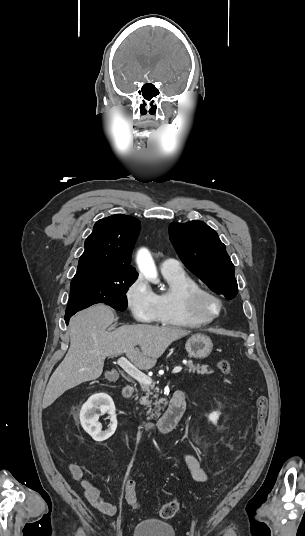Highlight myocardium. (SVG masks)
Masks as SVG:
<instances>
[{
  "label": "myocardium",
  "instance_id": "obj_1",
  "mask_svg": "<svg viewBox=\"0 0 305 536\" xmlns=\"http://www.w3.org/2000/svg\"><path fill=\"white\" fill-rule=\"evenodd\" d=\"M215 299L219 302V310L213 316L205 314L206 300ZM182 306L185 314L198 321L199 326L215 323L225 310V302L221 295L207 288H196L182 296Z\"/></svg>",
  "mask_w": 305,
  "mask_h": 536
}]
</instances>
